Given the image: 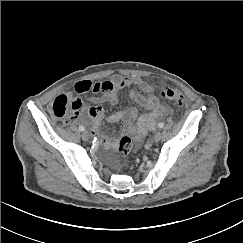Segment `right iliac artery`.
I'll return each mask as SVG.
<instances>
[{
    "label": "right iliac artery",
    "mask_w": 243,
    "mask_h": 243,
    "mask_svg": "<svg viewBox=\"0 0 243 243\" xmlns=\"http://www.w3.org/2000/svg\"><path fill=\"white\" fill-rule=\"evenodd\" d=\"M79 130H80V131H84V130H85L84 126H82V125L79 126Z\"/></svg>",
    "instance_id": "82829eb1"
}]
</instances>
